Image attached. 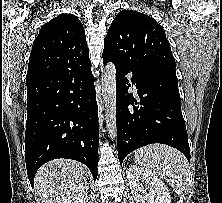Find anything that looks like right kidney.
<instances>
[{"instance_id":"right-kidney-1","label":"right kidney","mask_w":222,"mask_h":203,"mask_svg":"<svg viewBox=\"0 0 222 203\" xmlns=\"http://www.w3.org/2000/svg\"><path fill=\"white\" fill-rule=\"evenodd\" d=\"M88 186L86 183H78L68 189L58 203H86Z\"/></svg>"}]
</instances>
